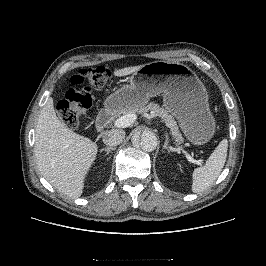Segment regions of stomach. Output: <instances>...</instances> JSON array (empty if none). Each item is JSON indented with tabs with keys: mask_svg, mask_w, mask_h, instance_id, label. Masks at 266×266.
Returning a JSON list of instances; mask_svg holds the SVG:
<instances>
[{
	"mask_svg": "<svg viewBox=\"0 0 266 266\" xmlns=\"http://www.w3.org/2000/svg\"><path fill=\"white\" fill-rule=\"evenodd\" d=\"M163 95V106L176 117L191 144L201 146L215 133L208 93L193 70L180 62L155 61L144 64L124 85L107 97L106 109L127 110L145 106L151 97Z\"/></svg>",
	"mask_w": 266,
	"mask_h": 266,
	"instance_id": "obj_1",
	"label": "stomach"
}]
</instances>
